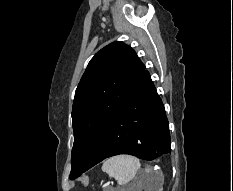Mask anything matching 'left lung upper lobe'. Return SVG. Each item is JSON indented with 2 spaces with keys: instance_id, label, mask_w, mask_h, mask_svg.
Instances as JSON below:
<instances>
[{
  "instance_id": "1",
  "label": "left lung upper lobe",
  "mask_w": 233,
  "mask_h": 191,
  "mask_svg": "<svg viewBox=\"0 0 233 191\" xmlns=\"http://www.w3.org/2000/svg\"><path fill=\"white\" fill-rule=\"evenodd\" d=\"M144 71L145 66L135 51L120 41L107 45L91 59L73 102L74 145L70 178L81 174Z\"/></svg>"
}]
</instances>
